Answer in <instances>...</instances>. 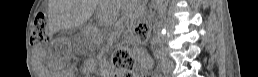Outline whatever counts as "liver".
I'll list each match as a JSON object with an SVG mask.
<instances>
[{"label": "liver", "mask_w": 258, "mask_h": 77, "mask_svg": "<svg viewBox=\"0 0 258 77\" xmlns=\"http://www.w3.org/2000/svg\"><path fill=\"white\" fill-rule=\"evenodd\" d=\"M61 20L64 24L74 26L76 24V2L65 0L62 8Z\"/></svg>", "instance_id": "liver-1"}]
</instances>
